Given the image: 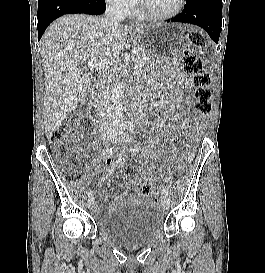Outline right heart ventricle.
Wrapping results in <instances>:
<instances>
[{
	"label": "right heart ventricle",
	"mask_w": 265,
	"mask_h": 273,
	"mask_svg": "<svg viewBox=\"0 0 265 273\" xmlns=\"http://www.w3.org/2000/svg\"><path fill=\"white\" fill-rule=\"evenodd\" d=\"M133 10H134V9H133ZM133 10H132V11H133ZM134 14H135L136 16H138V17H142V15H141L139 9H138V10H135V11H134Z\"/></svg>",
	"instance_id": "1"
}]
</instances>
